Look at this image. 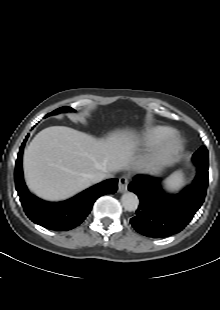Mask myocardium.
I'll list each match as a JSON object with an SVG mask.
<instances>
[{
    "instance_id": "f54148a6",
    "label": "myocardium",
    "mask_w": 220,
    "mask_h": 310,
    "mask_svg": "<svg viewBox=\"0 0 220 310\" xmlns=\"http://www.w3.org/2000/svg\"><path fill=\"white\" fill-rule=\"evenodd\" d=\"M183 150V139L172 133L162 142L153 147L146 158V168L150 171H160L177 161Z\"/></svg>"
}]
</instances>
